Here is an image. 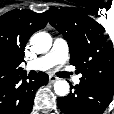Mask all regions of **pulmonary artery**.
I'll return each instance as SVG.
<instances>
[{
  "label": "pulmonary artery",
  "instance_id": "pulmonary-artery-1",
  "mask_svg": "<svg viewBox=\"0 0 114 114\" xmlns=\"http://www.w3.org/2000/svg\"><path fill=\"white\" fill-rule=\"evenodd\" d=\"M68 45L65 40L61 38L55 39L52 49L44 56L35 60L29 61L26 64L28 70H46L55 65L63 64L68 58ZM75 84L80 83V78L73 79Z\"/></svg>",
  "mask_w": 114,
  "mask_h": 114
}]
</instances>
